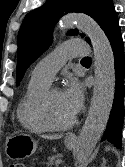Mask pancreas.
Instances as JSON below:
<instances>
[{
    "label": "pancreas",
    "mask_w": 125,
    "mask_h": 167,
    "mask_svg": "<svg viewBox=\"0 0 125 167\" xmlns=\"http://www.w3.org/2000/svg\"><path fill=\"white\" fill-rule=\"evenodd\" d=\"M57 160H60V159H59V156H52V157H49V158H48L47 165H48V166H53V165L55 164L56 167H58V164H56V161H57Z\"/></svg>",
    "instance_id": "cf45deb5"
}]
</instances>
